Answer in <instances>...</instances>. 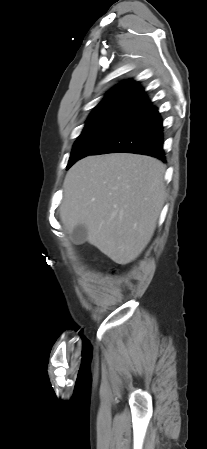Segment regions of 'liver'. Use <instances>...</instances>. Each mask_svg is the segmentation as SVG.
<instances>
[{"label": "liver", "mask_w": 207, "mask_h": 449, "mask_svg": "<svg viewBox=\"0 0 207 449\" xmlns=\"http://www.w3.org/2000/svg\"><path fill=\"white\" fill-rule=\"evenodd\" d=\"M164 164L128 153L88 156L68 171L60 205L63 227L87 229V241L118 264L150 242L165 200Z\"/></svg>", "instance_id": "liver-1"}]
</instances>
